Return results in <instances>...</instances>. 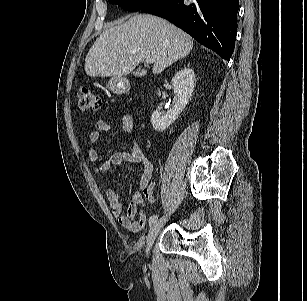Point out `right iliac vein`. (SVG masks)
Masks as SVG:
<instances>
[{
  "instance_id": "63e3f726",
  "label": "right iliac vein",
  "mask_w": 307,
  "mask_h": 301,
  "mask_svg": "<svg viewBox=\"0 0 307 301\" xmlns=\"http://www.w3.org/2000/svg\"><path fill=\"white\" fill-rule=\"evenodd\" d=\"M168 220V217L165 216L161 218L160 220L153 223L150 227V230L148 232L147 238H146V255H149L150 248L156 239L160 229L162 228L163 224Z\"/></svg>"
}]
</instances>
